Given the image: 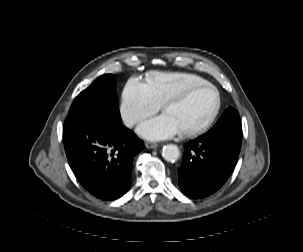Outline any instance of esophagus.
<instances>
[{"label": "esophagus", "instance_id": "esophagus-1", "mask_svg": "<svg viewBox=\"0 0 303 252\" xmlns=\"http://www.w3.org/2000/svg\"><path fill=\"white\" fill-rule=\"evenodd\" d=\"M158 146H159V144L158 143H154V142L147 141L145 143V147L148 148V149H156Z\"/></svg>", "mask_w": 303, "mask_h": 252}]
</instances>
